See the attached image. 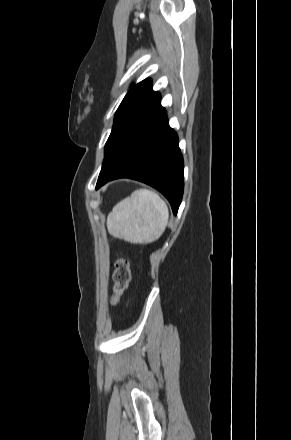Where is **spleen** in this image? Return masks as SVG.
<instances>
[{
    "label": "spleen",
    "mask_w": 291,
    "mask_h": 440,
    "mask_svg": "<svg viewBox=\"0 0 291 440\" xmlns=\"http://www.w3.org/2000/svg\"><path fill=\"white\" fill-rule=\"evenodd\" d=\"M169 220L166 203L149 189H137L114 206L107 217L108 232L134 244L158 240Z\"/></svg>",
    "instance_id": "spleen-1"
}]
</instances>
